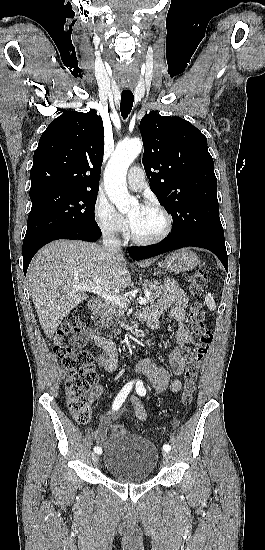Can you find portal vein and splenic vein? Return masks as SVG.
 <instances>
[{
	"instance_id": "18ae733b",
	"label": "portal vein and splenic vein",
	"mask_w": 265,
	"mask_h": 550,
	"mask_svg": "<svg viewBox=\"0 0 265 550\" xmlns=\"http://www.w3.org/2000/svg\"><path fill=\"white\" fill-rule=\"evenodd\" d=\"M74 288L76 290H81V291H84V292H92L94 294H97L99 295L100 297L112 302V303H115L119 306H126L129 304V300L126 299L125 297H122V296H119V295H116L108 290H105L103 288H101L98 284H77L74 286ZM137 302L141 305H145L147 303V300L146 298H138L137 299Z\"/></svg>"
}]
</instances>
